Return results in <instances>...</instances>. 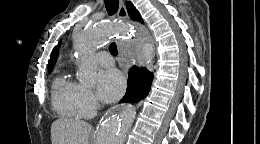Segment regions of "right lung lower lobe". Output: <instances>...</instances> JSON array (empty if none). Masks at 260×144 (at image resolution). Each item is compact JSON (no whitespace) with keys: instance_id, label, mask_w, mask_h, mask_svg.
Segmentation results:
<instances>
[{"instance_id":"98d812e1","label":"right lung lower lobe","mask_w":260,"mask_h":144,"mask_svg":"<svg viewBox=\"0 0 260 144\" xmlns=\"http://www.w3.org/2000/svg\"><path fill=\"white\" fill-rule=\"evenodd\" d=\"M153 77V73L147 68L133 66L129 70L127 91L121 103L138 102L145 98L150 91Z\"/></svg>"}]
</instances>
